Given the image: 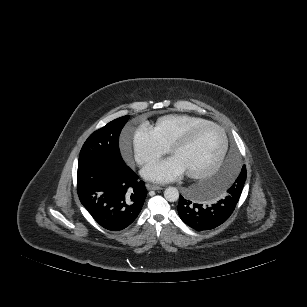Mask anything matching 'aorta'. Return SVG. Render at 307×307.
Returning <instances> with one entry per match:
<instances>
[{
	"mask_svg": "<svg viewBox=\"0 0 307 307\" xmlns=\"http://www.w3.org/2000/svg\"><path fill=\"white\" fill-rule=\"evenodd\" d=\"M164 197L169 202H175L179 198V191L175 187H168L164 191Z\"/></svg>",
	"mask_w": 307,
	"mask_h": 307,
	"instance_id": "obj_1",
	"label": "aorta"
}]
</instances>
